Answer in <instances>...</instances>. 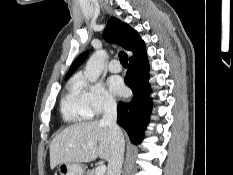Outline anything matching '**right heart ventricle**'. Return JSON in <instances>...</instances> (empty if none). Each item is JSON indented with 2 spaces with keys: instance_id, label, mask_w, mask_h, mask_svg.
I'll use <instances>...</instances> for the list:
<instances>
[{
  "instance_id": "e07e8e85",
  "label": "right heart ventricle",
  "mask_w": 233,
  "mask_h": 175,
  "mask_svg": "<svg viewBox=\"0 0 233 175\" xmlns=\"http://www.w3.org/2000/svg\"><path fill=\"white\" fill-rule=\"evenodd\" d=\"M60 112L65 121L72 123L86 121L93 116L74 80L70 83L67 93L61 100Z\"/></svg>"
}]
</instances>
